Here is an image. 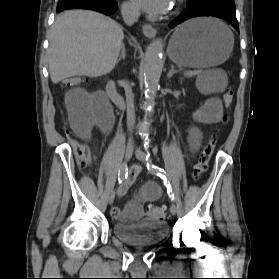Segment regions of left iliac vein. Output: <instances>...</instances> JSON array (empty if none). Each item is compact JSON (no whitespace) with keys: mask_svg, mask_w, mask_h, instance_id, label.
<instances>
[{"mask_svg":"<svg viewBox=\"0 0 279 279\" xmlns=\"http://www.w3.org/2000/svg\"><path fill=\"white\" fill-rule=\"evenodd\" d=\"M135 156L140 161H143L145 163L147 162L146 155L141 150H136L135 151ZM170 212H171L172 215H175L177 213V208H176V205L174 203H172L170 205Z\"/></svg>","mask_w":279,"mask_h":279,"instance_id":"4c4485c4","label":"left iliac vein"}]
</instances>
